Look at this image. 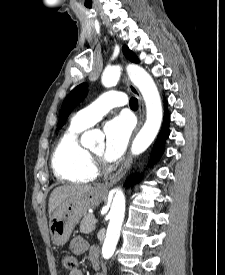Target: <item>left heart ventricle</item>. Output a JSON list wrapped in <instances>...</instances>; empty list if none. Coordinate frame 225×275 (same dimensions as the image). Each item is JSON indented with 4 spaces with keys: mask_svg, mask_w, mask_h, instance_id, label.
<instances>
[{
    "mask_svg": "<svg viewBox=\"0 0 225 275\" xmlns=\"http://www.w3.org/2000/svg\"><path fill=\"white\" fill-rule=\"evenodd\" d=\"M92 152L101 155L102 152H103V144L100 143L98 146H96L95 148H93V149H92Z\"/></svg>",
    "mask_w": 225,
    "mask_h": 275,
    "instance_id": "1",
    "label": "left heart ventricle"
}]
</instances>
